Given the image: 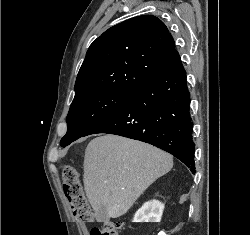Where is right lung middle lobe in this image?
<instances>
[{"label":"right lung middle lobe","mask_w":250,"mask_h":235,"mask_svg":"<svg viewBox=\"0 0 250 235\" xmlns=\"http://www.w3.org/2000/svg\"><path fill=\"white\" fill-rule=\"evenodd\" d=\"M134 92L96 91L73 100L67 116V133L60 145L65 147L83 137L94 126L117 111Z\"/></svg>","instance_id":"right-lung-middle-lobe-1"}]
</instances>
